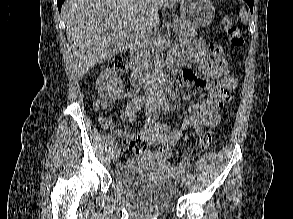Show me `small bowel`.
I'll return each mask as SVG.
<instances>
[{"label":"small bowel","instance_id":"1","mask_svg":"<svg viewBox=\"0 0 293 219\" xmlns=\"http://www.w3.org/2000/svg\"><path fill=\"white\" fill-rule=\"evenodd\" d=\"M183 51L209 79L199 78L191 70H182L179 74V84L201 88L207 92L208 96L199 105L190 107V114L179 130L171 131L166 125L152 124L136 135L125 136V146L136 155H147L149 146L162 145L166 142L175 145L187 130L201 134L203 127L217 126L220 121L218 112L229 101V92L237 85L236 79L220 70L211 59L204 42L186 41L183 44ZM142 104V97L132 99L123 112V120L133 122ZM140 142L144 143L143 147L138 146Z\"/></svg>","mask_w":293,"mask_h":219}]
</instances>
